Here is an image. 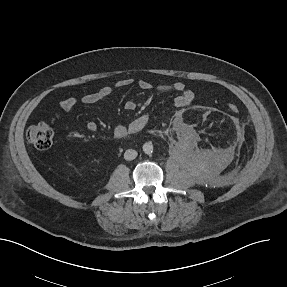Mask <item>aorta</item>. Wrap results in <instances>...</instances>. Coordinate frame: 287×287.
Returning <instances> with one entry per match:
<instances>
[{"mask_svg": "<svg viewBox=\"0 0 287 287\" xmlns=\"http://www.w3.org/2000/svg\"><path fill=\"white\" fill-rule=\"evenodd\" d=\"M143 151L145 154H151L153 152V144L151 142H146L143 147Z\"/></svg>", "mask_w": 287, "mask_h": 287, "instance_id": "762f6f07", "label": "aorta"}]
</instances>
